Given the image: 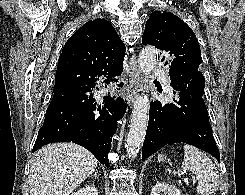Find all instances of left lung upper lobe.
<instances>
[{
    "label": "left lung upper lobe",
    "instance_id": "obj_1",
    "mask_svg": "<svg viewBox=\"0 0 245 195\" xmlns=\"http://www.w3.org/2000/svg\"><path fill=\"white\" fill-rule=\"evenodd\" d=\"M142 43L153 45L171 57L168 67L173 88L203 95L205 79L199 71L200 46L191 28L179 17L165 11L153 12L146 22Z\"/></svg>",
    "mask_w": 245,
    "mask_h": 195
}]
</instances>
